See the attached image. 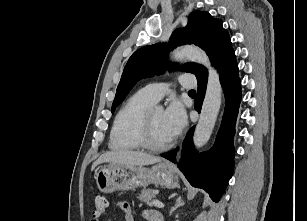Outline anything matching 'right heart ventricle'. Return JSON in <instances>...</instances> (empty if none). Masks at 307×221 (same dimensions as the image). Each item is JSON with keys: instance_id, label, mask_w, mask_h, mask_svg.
Listing matches in <instances>:
<instances>
[{"instance_id": "1", "label": "right heart ventricle", "mask_w": 307, "mask_h": 221, "mask_svg": "<svg viewBox=\"0 0 307 221\" xmlns=\"http://www.w3.org/2000/svg\"><path fill=\"white\" fill-rule=\"evenodd\" d=\"M154 104L141 90L132 95L117 112L111 132L109 147L114 151L140 149L138 133L145 112Z\"/></svg>"}]
</instances>
